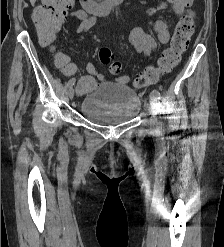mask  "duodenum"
Returning <instances> with one entry per match:
<instances>
[{
    "label": "duodenum",
    "instance_id": "obj_1",
    "mask_svg": "<svg viewBox=\"0 0 224 247\" xmlns=\"http://www.w3.org/2000/svg\"><path fill=\"white\" fill-rule=\"evenodd\" d=\"M122 1L123 0H80V4L85 11H91L98 15L106 16Z\"/></svg>",
    "mask_w": 224,
    "mask_h": 247
}]
</instances>
